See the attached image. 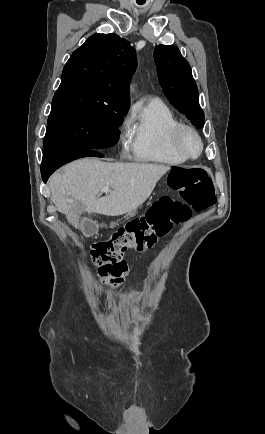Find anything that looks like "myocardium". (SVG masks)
Wrapping results in <instances>:
<instances>
[{
	"instance_id": "1",
	"label": "myocardium",
	"mask_w": 265,
	"mask_h": 434,
	"mask_svg": "<svg viewBox=\"0 0 265 434\" xmlns=\"http://www.w3.org/2000/svg\"><path fill=\"white\" fill-rule=\"evenodd\" d=\"M193 136L198 144H199V153L196 156H189L187 155L184 150H183V146H182V141L184 139V137L186 136ZM173 144H174V148L177 152V154L184 160V161H195L197 159H199L205 150V142L202 139V137L199 135V133L191 126L186 125V124H181L179 126V128L177 129L176 134L173 136Z\"/></svg>"
}]
</instances>
